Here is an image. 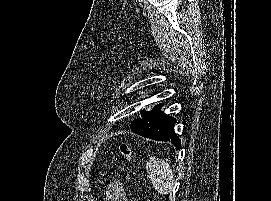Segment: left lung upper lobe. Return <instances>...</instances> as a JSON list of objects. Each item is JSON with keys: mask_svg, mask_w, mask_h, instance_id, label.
I'll return each instance as SVG.
<instances>
[{"mask_svg": "<svg viewBox=\"0 0 271 201\" xmlns=\"http://www.w3.org/2000/svg\"><path fill=\"white\" fill-rule=\"evenodd\" d=\"M162 105H156L151 111L141 110V118L134 121L138 134L153 140L167 137L172 127L173 117L161 112Z\"/></svg>", "mask_w": 271, "mask_h": 201, "instance_id": "5c2ea615", "label": "left lung upper lobe"}]
</instances>
